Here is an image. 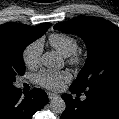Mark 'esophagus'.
Listing matches in <instances>:
<instances>
[{"label":"esophagus","mask_w":119,"mask_h":119,"mask_svg":"<svg viewBox=\"0 0 119 119\" xmlns=\"http://www.w3.org/2000/svg\"><path fill=\"white\" fill-rule=\"evenodd\" d=\"M56 97H58L57 94L51 93V92L48 93V98H49L50 100H52V99H54V98H56Z\"/></svg>","instance_id":"1"}]
</instances>
